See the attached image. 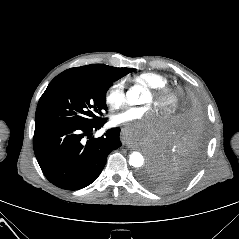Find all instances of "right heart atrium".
Wrapping results in <instances>:
<instances>
[{"label":"right heart atrium","instance_id":"d8ad5b80","mask_svg":"<svg viewBox=\"0 0 239 239\" xmlns=\"http://www.w3.org/2000/svg\"><path fill=\"white\" fill-rule=\"evenodd\" d=\"M126 100V85L124 81L113 82L105 93V102L111 109L120 108Z\"/></svg>","mask_w":239,"mask_h":239}]
</instances>
